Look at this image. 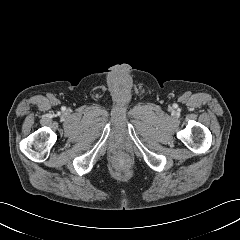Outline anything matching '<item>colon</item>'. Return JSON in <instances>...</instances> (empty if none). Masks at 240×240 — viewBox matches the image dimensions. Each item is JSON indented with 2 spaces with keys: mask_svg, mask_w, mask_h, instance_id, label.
<instances>
[{
  "mask_svg": "<svg viewBox=\"0 0 240 240\" xmlns=\"http://www.w3.org/2000/svg\"><path fill=\"white\" fill-rule=\"evenodd\" d=\"M120 162H121L122 166L126 167L129 165L130 160H129L128 156L122 155Z\"/></svg>",
  "mask_w": 240,
  "mask_h": 240,
  "instance_id": "1",
  "label": "colon"
}]
</instances>
